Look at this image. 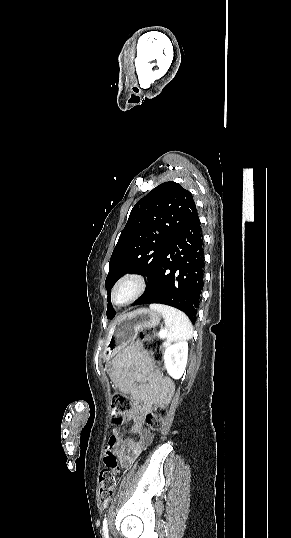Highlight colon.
I'll return each instance as SVG.
<instances>
[{
  "instance_id": "5ec220e1",
  "label": "colon",
  "mask_w": 291,
  "mask_h": 538,
  "mask_svg": "<svg viewBox=\"0 0 291 538\" xmlns=\"http://www.w3.org/2000/svg\"><path fill=\"white\" fill-rule=\"evenodd\" d=\"M139 339L145 351L150 355L151 359L159 363L163 357V349L156 338L153 330L142 329L139 333ZM133 400L126 394L117 392L111 399L112 420L115 423H121L124 417L131 411ZM168 414V409L164 405H157L154 410L146 416V422L152 432L161 430L164 420ZM104 463L106 469L102 470L99 476V491L101 496L110 497L116 490V479L112 473V469L117 465L116 456L111 447H106L104 454Z\"/></svg>"
}]
</instances>
